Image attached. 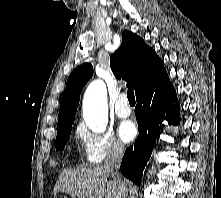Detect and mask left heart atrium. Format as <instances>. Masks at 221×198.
<instances>
[{"label":"left heart atrium","mask_w":221,"mask_h":198,"mask_svg":"<svg viewBox=\"0 0 221 198\" xmlns=\"http://www.w3.org/2000/svg\"><path fill=\"white\" fill-rule=\"evenodd\" d=\"M136 134L137 129L131 121L122 122L118 128L119 138L125 143L132 141Z\"/></svg>","instance_id":"39dd6f15"}]
</instances>
